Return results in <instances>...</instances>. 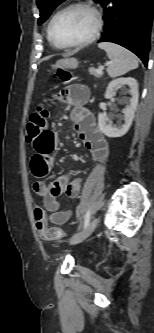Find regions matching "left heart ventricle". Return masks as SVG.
I'll return each mask as SVG.
<instances>
[{"label": "left heart ventricle", "mask_w": 154, "mask_h": 333, "mask_svg": "<svg viewBox=\"0 0 154 333\" xmlns=\"http://www.w3.org/2000/svg\"><path fill=\"white\" fill-rule=\"evenodd\" d=\"M92 14L86 9L74 8L61 14L53 24V35L58 43L73 44L89 37L93 31Z\"/></svg>", "instance_id": "obj_1"}]
</instances>
